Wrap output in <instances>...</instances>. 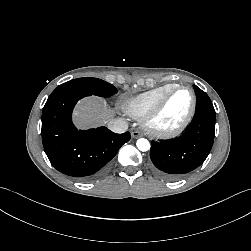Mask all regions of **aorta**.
Wrapping results in <instances>:
<instances>
[{"instance_id": "obj_1", "label": "aorta", "mask_w": 251, "mask_h": 251, "mask_svg": "<svg viewBox=\"0 0 251 251\" xmlns=\"http://www.w3.org/2000/svg\"><path fill=\"white\" fill-rule=\"evenodd\" d=\"M136 145H137V148L140 150V151H148L150 149V143L147 139H144V138H140L137 140L136 142Z\"/></svg>"}]
</instances>
